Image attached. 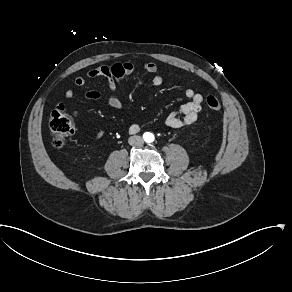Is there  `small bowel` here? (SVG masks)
I'll use <instances>...</instances> for the list:
<instances>
[{
    "label": "small bowel",
    "instance_id": "obj_1",
    "mask_svg": "<svg viewBox=\"0 0 292 292\" xmlns=\"http://www.w3.org/2000/svg\"><path fill=\"white\" fill-rule=\"evenodd\" d=\"M144 71L151 74L152 83L155 86H160L163 83V78L157 73V66L153 62H148L144 65ZM135 71V66L130 62L115 63L112 65H101L90 69L84 75L77 76L74 80V84L78 87L84 86L88 80L95 78H104L107 81L108 92L106 95V101L108 105L114 110H121L123 105L117 95V89L120 83ZM75 92L73 89H67L65 91V97L73 98ZM185 95L189 99V102L181 106L178 110L170 113L166 119L165 124L172 128L178 129L196 122L199 113L202 109L203 96L197 93L193 88H187ZM101 97V94L97 90H90L85 93V98L89 100H97ZM104 133L99 132L94 136V139H101Z\"/></svg>",
    "mask_w": 292,
    "mask_h": 292
}]
</instances>
